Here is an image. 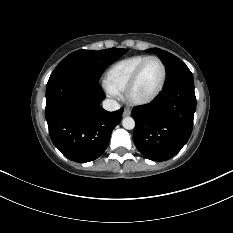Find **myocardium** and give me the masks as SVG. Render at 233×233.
<instances>
[{
  "label": "myocardium",
  "instance_id": "f54148a6",
  "mask_svg": "<svg viewBox=\"0 0 233 233\" xmlns=\"http://www.w3.org/2000/svg\"><path fill=\"white\" fill-rule=\"evenodd\" d=\"M151 60H157L162 66L163 75H162L161 83H160L158 89L149 97L143 98V99H135L132 97L133 88L135 87L145 65ZM166 81H167V67H166L165 62L158 56H148L146 59H144L139 64V66L136 68V70L132 74L131 78L129 79V81L126 85V88L124 90L125 100L128 104L133 105V106L147 105V104L153 102L162 93V91L165 87Z\"/></svg>",
  "mask_w": 233,
  "mask_h": 233
}]
</instances>
